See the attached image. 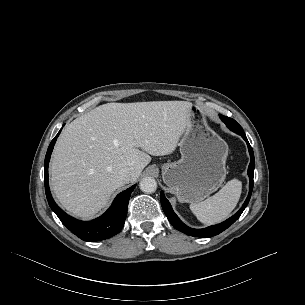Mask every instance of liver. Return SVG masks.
Instances as JSON below:
<instances>
[{
	"instance_id": "1",
	"label": "liver",
	"mask_w": 305,
	"mask_h": 305,
	"mask_svg": "<svg viewBox=\"0 0 305 305\" xmlns=\"http://www.w3.org/2000/svg\"><path fill=\"white\" fill-rule=\"evenodd\" d=\"M191 107L187 101L107 103L76 118L52 153L50 186L56 198L73 215L93 217L125 184L122 169H129V182H135L150 155L175 151Z\"/></svg>"
}]
</instances>
